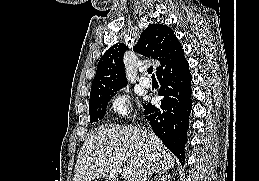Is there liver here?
<instances>
[{"label": "liver", "instance_id": "obj_1", "mask_svg": "<svg viewBox=\"0 0 259 181\" xmlns=\"http://www.w3.org/2000/svg\"><path fill=\"white\" fill-rule=\"evenodd\" d=\"M132 170L129 181H138L145 170L165 173L174 166L175 156L152 132L134 126H114L98 129L85 140L77 159L73 181L104 178L114 181L121 172L122 160Z\"/></svg>", "mask_w": 259, "mask_h": 181}]
</instances>
